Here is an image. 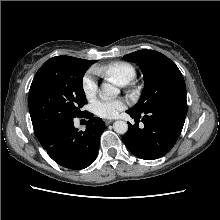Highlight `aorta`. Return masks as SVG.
<instances>
[{
    "label": "aorta",
    "mask_w": 220,
    "mask_h": 220,
    "mask_svg": "<svg viewBox=\"0 0 220 220\" xmlns=\"http://www.w3.org/2000/svg\"><path fill=\"white\" fill-rule=\"evenodd\" d=\"M120 93V90L109 83H103L101 85V96L104 99H110L116 97ZM113 129L118 134H125L128 131V124L125 121H115Z\"/></svg>",
    "instance_id": "1"
}]
</instances>
